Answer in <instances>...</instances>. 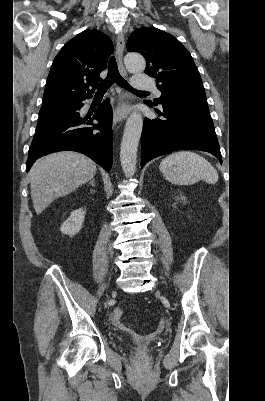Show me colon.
Wrapping results in <instances>:
<instances>
[{
    "mask_svg": "<svg viewBox=\"0 0 265 401\" xmlns=\"http://www.w3.org/2000/svg\"><path fill=\"white\" fill-rule=\"evenodd\" d=\"M122 316H123V310L122 309L117 308V309L114 310V312H113V320L117 324H119V320L122 318Z\"/></svg>",
    "mask_w": 265,
    "mask_h": 401,
    "instance_id": "colon-1",
    "label": "colon"
}]
</instances>
